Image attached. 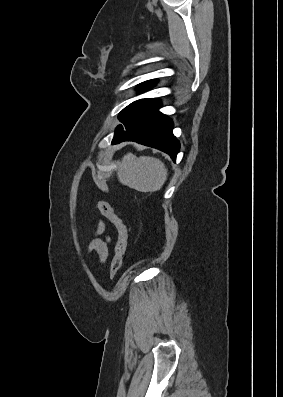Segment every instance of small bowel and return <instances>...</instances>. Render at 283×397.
<instances>
[{"instance_id": "c3829d8e", "label": "small bowel", "mask_w": 283, "mask_h": 397, "mask_svg": "<svg viewBox=\"0 0 283 397\" xmlns=\"http://www.w3.org/2000/svg\"><path fill=\"white\" fill-rule=\"evenodd\" d=\"M105 224L102 221H98L96 224V237L91 241L89 250L94 251L98 254L99 259L102 263L107 260L109 254V243L110 238L101 236L104 234Z\"/></svg>"}]
</instances>
